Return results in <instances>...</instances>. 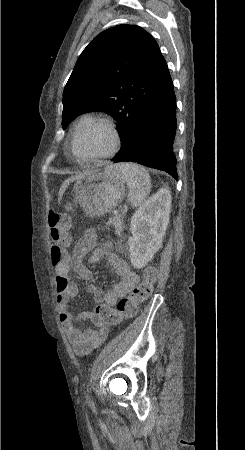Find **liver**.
<instances>
[{
    "label": "liver",
    "mask_w": 245,
    "mask_h": 450,
    "mask_svg": "<svg viewBox=\"0 0 245 450\" xmlns=\"http://www.w3.org/2000/svg\"><path fill=\"white\" fill-rule=\"evenodd\" d=\"M88 174H89V173H88ZM85 175H87V174H83V175H80V176H74V177H71V178H68L67 180H65V181L63 182V184L61 185V188H60V190H59L58 200H59V201L61 200V198H62V196H63V194H64L66 188L68 187V185H69L71 182H73V181L77 180L78 178L83 177V176H85Z\"/></svg>",
    "instance_id": "liver-1"
}]
</instances>
